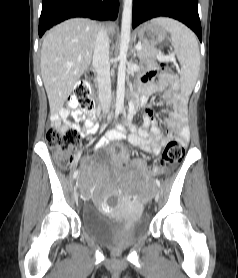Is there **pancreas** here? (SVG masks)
<instances>
[{"label":"pancreas","mask_w":238,"mask_h":278,"mask_svg":"<svg viewBox=\"0 0 238 278\" xmlns=\"http://www.w3.org/2000/svg\"><path fill=\"white\" fill-rule=\"evenodd\" d=\"M141 46L142 49L138 51V56L142 60L150 59V58L158 59L159 56H163L162 53L153 46L144 43H142Z\"/></svg>","instance_id":"cf45deb5"}]
</instances>
